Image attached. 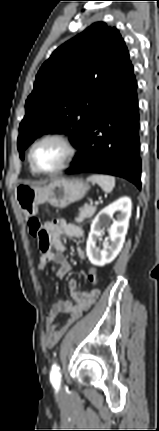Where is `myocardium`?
<instances>
[{"instance_id": "f54148a6", "label": "myocardium", "mask_w": 159, "mask_h": 431, "mask_svg": "<svg viewBox=\"0 0 159 431\" xmlns=\"http://www.w3.org/2000/svg\"><path fill=\"white\" fill-rule=\"evenodd\" d=\"M48 140H54V141L60 142L66 148V157L64 161L57 168L53 170L45 171V170L39 169L35 165L33 161V151L37 145ZM76 153H77L76 146L72 141V139L67 134L60 133V132H53V133L45 134L33 142L28 152V161L30 163L31 169L35 173L42 174V175H52L66 169L74 160Z\"/></svg>"}]
</instances>
